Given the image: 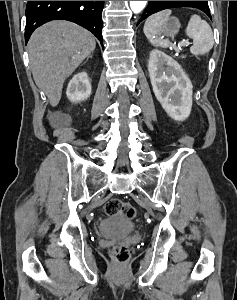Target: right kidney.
Instances as JSON below:
<instances>
[{
  "label": "right kidney",
  "mask_w": 237,
  "mask_h": 300,
  "mask_svg": "<svg viewBox=\"0 0 237 300\" xmlns=\"http://www.w3.org/2000/svg\"><path fill=\"white\" fill-rule=\"evenodd\" d=\"M66 95L72 103L85 101L91 95V83L87 73H77L73 79L69 81Z\"/></svg>",
  "instance_id": "right-kidney-1"
}]
</instances>
